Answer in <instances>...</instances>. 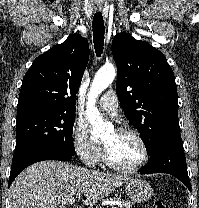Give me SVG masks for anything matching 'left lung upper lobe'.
I'll return each mask as SVG.
<instances>
[{
    "label": "left lung upper lobe",
    "instance_id": "left-lung-upper-lobe-1",
    "mask_svg": "<svg viewBox=\"0 0 199 208\" xmlns=\"http://www.w3.org/2000/svg\"><path fill=\"white\" fill-rule=\"evenodd\" d=\"M112 54L120 105L150 154L161 139L180 132L174 73L162 52L128 33L114 37Z\"/></svg>",
    "mask_w": 199,
    "mask_h": 208
}]
</instances>
